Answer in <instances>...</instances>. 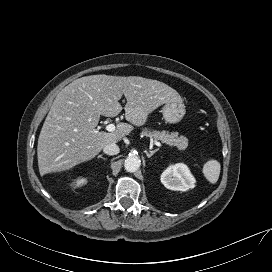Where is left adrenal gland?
Here are the masks:
<instances>
[{
  "label": "left adrenal gland",
  "mask_w": 272,
  "mask_h": 272,
  "mask_svg": "<svg viewBox=\"0 0 272 272\" xmlns=\"http://www.w3.org/2000/svg\"><path fill=\"white\" fill-rule=\"evenodd\" d=\"M159 149L151 150L149 152L146 151V155L148 158L152 157L154 153H156Z\"/></svg>",
  "instance_id": "left-adrenal-gland-1"
}]
</instances>
